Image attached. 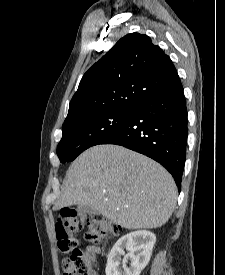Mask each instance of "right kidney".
<instances>
[{
  "mask_svg": "<svg viewBox=\"0 0 225 275\" xmlns=\"http://www.w3.org/2000/svg\"><path fill=\"white\" fill-rule=\"evenodd\" d=\"M155 242L156 236L147 230H138L122 236L108 255L106 275H140L150 260ZM125 249L129 251L127 254ZM128 259L131 260L129 267L126 266Z\"/></svg>",
  "mask_w": 225,
  "mask_h": 275,
  "instance_id": "right-kidney-1",
  "label": "right kidney"
}]
</instances>
